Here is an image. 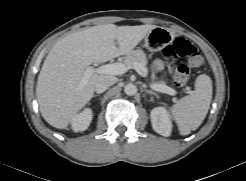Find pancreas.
<instances>
[{
  "instance_id": "cf45deb5",
  "label": "pancreas",
  "mask_w": 246,
  "mask_h": 181,
  "mask_svg": "<svg viewBox=\"0 0 246 181\" xmlns=\"http://www.w3.org/2000/svg\"><path fill=\"white\" fill-rule=\"evenodd\" d=\"M124 63L128 66H132L134 63H139L141 64L146 71H148L146 65H147V58H146V54L138 49V50H134L132 52H130L129 54H127L124 57ZM156 84H161V85H166L164 81L160 80V81H155Z\"/></svg>"
}]
</instances>
